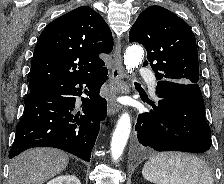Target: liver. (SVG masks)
<instances>
[{
    "label": "liver",
    "mask_w": 224,
    "mask_h": 184,
    "mask_svg": "<svg viewBox=\"0 0 224 184\" xmlns=\"http://www.w3.org/2000/svg\"><path fill=\"white\" fill-rule=\"evenodd\" d=\"M68 155L60 150L41 147L27 150L12 160L9 184H44L68 165Z\"/></svg>",
    "instance_id": "1"
}]
</instances>
